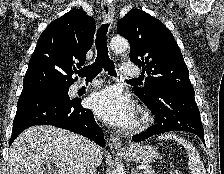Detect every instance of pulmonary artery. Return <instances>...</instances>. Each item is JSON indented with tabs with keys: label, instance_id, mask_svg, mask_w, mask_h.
Listing matches in <instances>:
<instances>
[{
	"label": "pulmonary artery",
	"instance_id": "obj_1",
	"mask_svg": "<svg viewBox=\"0 0 224 174\" xmlns=\"http://www.w3.org/2000/svg\"><path fill=\"white\" fill-rule=\"evenodd\" d=\"M141 73L140 69L132 64V63H124L121 67V74L125 77H133V76H139ZM98 81H93L92 83H90V85H96L98 84ZM86 86L84 83H79L74 85V90H79L82 87Z\"/></svg>",
	"mask_w": 224,
	"mask_h": 174
}]
</instances>
